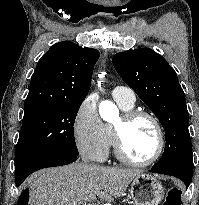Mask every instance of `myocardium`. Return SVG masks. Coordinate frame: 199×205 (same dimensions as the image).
Instances as JSON below:
<instances>
[{"mask_svg":"<svg viewBox=\"0 0 199 205\" xmlns=\"http://www.w3.org/2000/svg\"><path fill=\"white\" fill-rule=\"evenodd\" d=\"M146 118L152 122L157 132V147L154 154L147 160L137 161L130 158L124 151L122 145V127L131 123L132 121ZM112 131V142L116 157L123 163L135 166V167H146L156 162L163 154L165 148V132L164 128L159 119L148 111L143 110H129L122 113L120 116V124H114L111 128Z\"/></svg>","mask_w":199,"mask_h":205,"instance_id":"obj_1","label":"myocardium"}]
</instances>
